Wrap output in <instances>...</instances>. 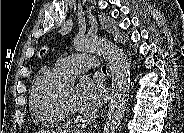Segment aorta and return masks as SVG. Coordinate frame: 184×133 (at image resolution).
Returning a JSON list of instances; mask_svg holds the SVG:
<instances>
[{
  "instance_id": "aorta-1",
  "label": "aorta",
  "mask_w": 184,
  "mask_h": 133,
  "mask_svg": "<svg viewBox=\"0 0 184 133\" xmlns=\"http://www.w3.org/2000/svg\"><path fill=\"white\" fill-rule=\"evenodd\" d=\"M77 51L97 52L108 63L112 76V95L103 133H115L125 114L130 90V65L123 51L112 42L87 36L74 40ZM66 84H74L72 76L65 77Z\"/></svg>"
}]
</instances>
